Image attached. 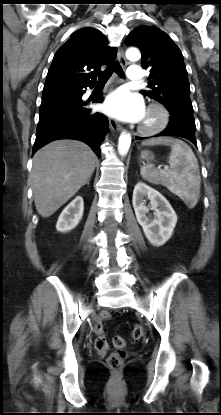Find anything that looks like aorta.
<instances>
[{"mask_svg":"<svg viewBox=\"0 0 221 415\" xmlns=\"http://www.w3.org/2000/svg\"><path fill=\"white\" fill-rule=\"evenodd\" d=\"M127 59L134 61L140 58V52L137 48L131 47L126 51ZM131 145V134L127 131H123L119 137L118 151L119 154L125 156Z\"/></svg>","mask_w":221,"mask_h":415,"instance_id":"obj_1","label":"aorta"}]
</instances>
